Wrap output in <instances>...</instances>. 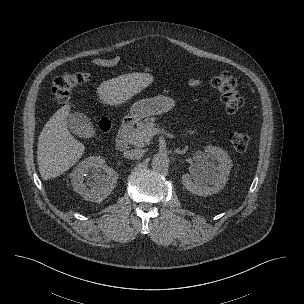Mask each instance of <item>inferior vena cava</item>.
Returning a JSON list of instances; mask_svg holds the SVG:
<instances>
[{"label": "inferior vena cava", "instance_id": "obj_1", "mask_svg": "<svg viewBox=\"0 0 304 304\" xmlns=\"http://www.w3.org/2000/svg\"><path fill=\"white\" fill-rule=\"evenodd\" d=\"M144 154L142 149H131L124 152V157L128 159H140Z\"/></svg>", "mask_w": 304, "mask_h": 304}]
</instances>
